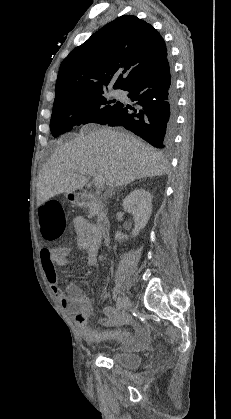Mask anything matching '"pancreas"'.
<instances>
[{
    "label": "pancreas",
    "instance_id": "1",
    "mask_svg": "<svg viewBox=\"0 0 231 419\" xmlns=\"http://www.w3.org/2000/svg\"><path fill=\"white\" fill-rule=\"evenodd\" d=\"M97 214H98V209H97V207H95V206L91 205V206L89 207V215H88V216L91 218V217H95Z\"/></svg>",
    "mask_w": 231,
    "mask_h": 419
}]
</instances>
